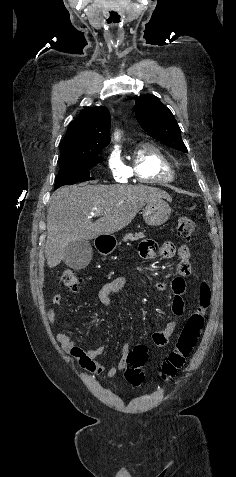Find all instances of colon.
Here are the masks:
<instances>
[{
  "label": "colon",
  "mask_w": 236,
  "mask_h": 477,
  "mask_svg": "<svg viewBox=\"0 0 236 477\" xmlns=\"http://www.w3.org/2000/svg\"><path fill=\"white\" fill-rule=\"evenodd\" d=\"M198 230L196 220L187 214L178 217L177 231L182 238H191ZM60 283L70 289L79 288L82 279L72 269H65L60 275ZM211 291L207 283L200 286V301L196 310L190 315L178 335L174 350L162 364V377L164 380L174 378L184 365L186 359L196 346L204 327L205 314L210 304ZM148 360V349L145 345L135 346L127 356L125 379L134 386H139L144 381L143 366Z\"/></svg>",
  "instance_id": "obj_1"
}]
</instances>
